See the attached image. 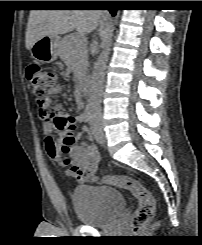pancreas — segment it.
I'll return each mask as SVG.
<instances>
[{"mask_svg": "<svg viewBox=\"0 0 202 245\" xmlns=\"http://www.w3.org/2000/svg\"><path fill=\"white\" fill-rule=\"evenodd\" d=\"M59 55L69 70L81 80L86 74L88 65L85 42L74 34L66 36L61 42Z\"/></svg>", "mask_w": 202, "mask_h": 245, "instance_id": "pancreas-1", "label": "pancreas"}]
</instances>
